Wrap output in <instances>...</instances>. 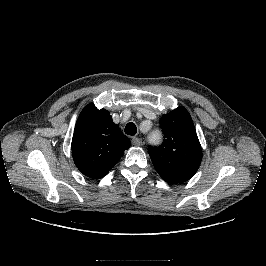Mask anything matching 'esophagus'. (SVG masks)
I'll return each instance as SVG.
<instances>
[{
	"instance_id": "34e87169",
	"label": "esophagus",
	"mask_w": 266,
	"mask_h": 266,
	"mask_svg": "<svg viewBox=\"0 0 266 266\" xmlns=\"http://www.w3.org/2000/svg\"><path fill=\"white\" fill-rule=\"evenodd\" d=\"M131 142L134 146H140L142 144V140L138 137H132Z\"/></svg>"
}]
</instances>
